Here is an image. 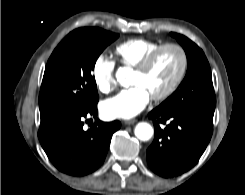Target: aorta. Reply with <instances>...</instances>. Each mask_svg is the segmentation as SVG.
I'll return each instance as SVG.
<instances>
[{
    "label": "aorta",
    "instance_id": "1",
    "mask_svg": "<svg viewBox=\"0 0 245 195\" xmlns=\"http://www.w3.org/2000/svg\"><path fill=\"white\" fill-rule=\"evenodd\" d=\"M116 78L121 85L126 83V70L120 68L116 73ZM135 136L141 141H148L154 134L152 126L147 122H139L134 128Z\"/></svg>",
    "mask_w": 245,
    "mask_h": 195
}]
</instances>
